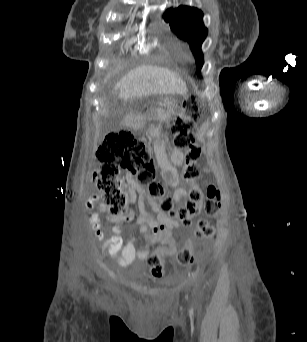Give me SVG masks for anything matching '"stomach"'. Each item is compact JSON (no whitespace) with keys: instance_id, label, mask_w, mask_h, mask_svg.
Returning <instances> with one entry per match:
<instances>
[{"instance_id":"0dacf381","label":"stomach","mask_w":307,"mask_h":342,"mask_svg":"<svg viewBox=\"0 0 307 342\" xmlns=\"http://www.w3.org/2000/svg\"><path fill=\"white\" fill-rule=\"evenodd\" d=\"M178 109V101L176 99H164L157 109L154 111L155 117L159 121H169ZM146 117L138 114L134 115L131 119V124L135 129H140L145 125Z\"/></svg>"}]
</instances>
